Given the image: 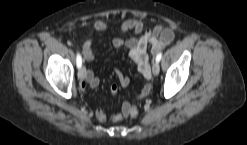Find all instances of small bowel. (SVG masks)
<instances>
[{"instance_id":"obj_1","label":"small bowel","mask_w":247,"mask_h":145,"mask_svg":"<svg viewBox=\"0 0 247 145\" xmlns=\"http://www.w3.org/2000/svg\"><path fill=\"white\" fill-rule=\"evenodd\" d=\"M94 29L97 32H104L108 29V25L104 20L98 19L93 24ZM132 31L136 37L125 38L124 35ZM175 34L171 27H166L164 23L157 24L153 29H145L141 20L130 18L125 20L119 29L118 35H116L112 44L115 48L125 47L128 49V55L134 63L137 71L147 81L151 79L150 59L148 55V48H151L153 54L158 53L166 45L170 44L174 40ZM82 54L85 61H92L95 57V53L92 48V40L89 38L84 42L82 48ZM114 73L118 77L119 83L122 87L129 85V78L124 75L118 69L114 70ZM100 83L99 77H97L91 70L86 71V77L80 84V90L84 92L87 86L97 87ZM151 90V84L144 85L140 92L139 98H145ZM118 92V87L112 85L110 87V94L114 97ZM129 107V102L125 101L122 104L121 112L113 115H108L106 108H98L95 111L97 119L101 122H117L126 116L125 112Z\"/></svg>"}]
</instances>
